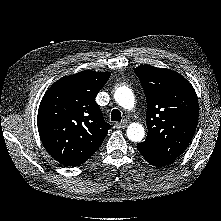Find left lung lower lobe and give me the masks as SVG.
I'll return each instance as SVG.
<instances>
[{
	"mask_svg": "<svg viewBox=\"0 0 221 221\" xmlns=\"http://www.w3.org/2000/svg\"><path fill=\"white\" fill-rule=\"evenodd\" d=\"M150 164H152V165H154V166H157V167H161V165H158V164H156V163H152V162H150V161H148Z\"/></svg>",
	"mask_w": 221,
	"mask_h": 221,
	"instance_id": "left-lung-lower-lobe-1",
	"label": "left lung lower lobe"
}]
</instances>
